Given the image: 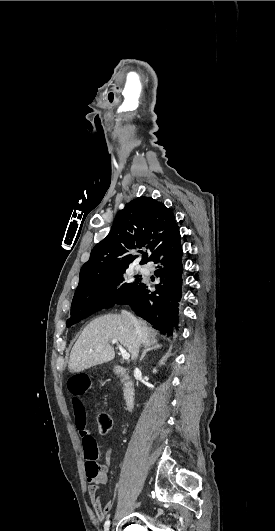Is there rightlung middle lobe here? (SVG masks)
<instances>
[{"mask_svg": "<svg viewBox=\"0 0 275 531\" xmlns=\"http://www.w3.org/2000/svg\"><path fill=\"white\" fill-rule=\"evenodd\" d=\"M126 268L98 276L77 288L72 300L71 317L67 320V327L104 308L123 304L141 282L138 275L135 282H125L123 274Z\"/></svg>", "mask_w": 275, "mask_h": 531, "instance_id": "obj_1", "label": "right lung middle lobe"}]
</instances>
